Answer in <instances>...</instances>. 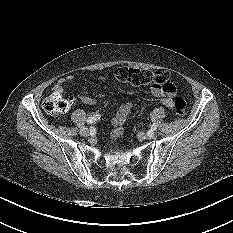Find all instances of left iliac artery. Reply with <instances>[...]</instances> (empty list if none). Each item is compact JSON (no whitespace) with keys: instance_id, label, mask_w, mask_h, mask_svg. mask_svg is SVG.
I'll return each mask as SVG.
<instances>
[{"instance_id":"44dca946","label":"left iliac artery","mask_w":233,"mask_h":233,"mask_svg":"<svg viewBox=\"0 0 233 233\" xmlns=\"http://www.w3.org/2000/svg\"><path fill=\"white\" fill-rule=\"evenodd\" d=\"M151 127H152V129L156 130L158 125L156 123H153Z\"/></svg>"}]
</instances>
